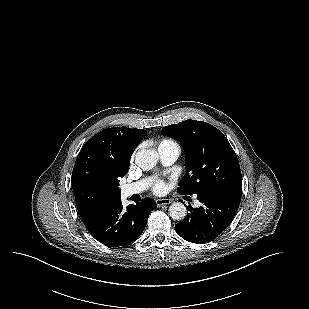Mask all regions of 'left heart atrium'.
I'll use <instances>...</instances> for the list:
<instances>
[{
    "mask_svg": "<svg viewBox=\"0 0 309 309\" xmlns=\"http://www.w3.org/2000/svg\"><path fill=\"white\" fill-rule=\"evenodd\" d=\"M165 190H166V183L163 180H158L153 186V191L156 194H161Z\"/></svg>",
    "mask_w": 309,
    "mask_h": 309,
    "instance_id": "39dd6f15",
    "label": "left heart atrium"
}]
</instances>
